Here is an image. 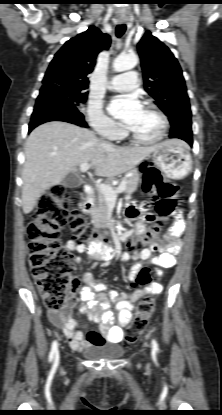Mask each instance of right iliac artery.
I'll return each instance as SVG.
<instances>
[{
	"instance_id": "right-iliac-artery-1",
	"label": "right iliac artery",
	"mask_w": 222,
	"mask_h": 415,
	"mask_svg": "<svg viewBox=\"0 0 222 415\" xmlns=\"http://www.w3.org/2000/svg\"><path fill=\"white\" fill-rule=\"evenodd\" d=\"M55 358V365L58 364V343L54 341L52 343L51 351L49 354V361H52Z\"/></svg>"
}]
</instances>
